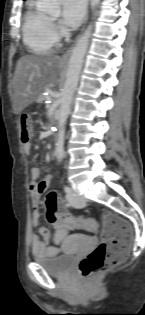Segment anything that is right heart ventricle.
Listing matches in <instances>:
<instances>
[{
	"label": "right heart ventricle",
	"instance_id": "right-heart-ventricle-1",
	"mask_svg": "<svg viewBox=\"0 0 145 315\" xmlns=\"http://www.w3.org/2000/svg\"><path fill=\"white\" fill-rule=\"evenodd\" d=\"M23 42L29 52L36 55L51 53L58 45L50 18L38 7L36 0H30L22 24Z\"/></svg>",
	"mask_w": 145,
	"mask_h": 315
}]
</instances>
